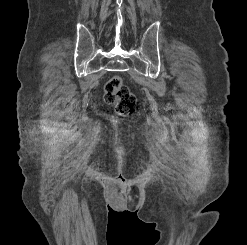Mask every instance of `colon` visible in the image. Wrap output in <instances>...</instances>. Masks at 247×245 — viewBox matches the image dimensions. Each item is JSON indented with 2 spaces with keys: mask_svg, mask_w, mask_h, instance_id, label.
<instances>
[{
  "mask_svg": "<svg viewBox=\"0 0 247 245\" xmlns=\"http://www.w3.org/2000/svg\"><path fill=\"white\" fill-rule=\"evenodd\" d=\"M104 92L105 102L113 106L117 114L127 115L132 111L135 105V97L130 90L124 86L120 76H112L107 81Z\"/></svg>",
  "mask_w": 247,
  "mask_h": 245,
  "instance_id": "obj_1",
  "label": "colon"
}]
</instances>
